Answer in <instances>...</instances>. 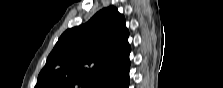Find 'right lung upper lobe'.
Masks as SVG:
<instances>
[{
	"label": "right lung upper lobe",
	"mask_w": 223,
	"mask_h": 88,
	"mask_svg": "<svg viewBox=\"0 0 223 88\" xmlns=\"http://www.w3.org/2000/svg\"><path fill=\"white\" fill-rule=\"evenodd\" d=\"M129 31L115 7L66 30L47 58L36 88H119L129 80Z\"/></svg>",
	"instance_id": "cb5924a9"
}]
</instances>
